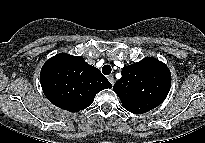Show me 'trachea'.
<instances>
[{
  "label": "trachea",
  "mask_w": 205,
  "mask_h": 143,
  "mask_svg": "<svg viewBox=\"0 0 205 143\" xmlns=\"http://www.w3.org/2000/svg\"><path fill=\"white\" fill-rule=\"evenodd\" d=\"M112 69L110 65H104L102 68V72L104 75H109L111 73Z\"/></svg>",
  "instance_id": "1"
}]
</instances>
